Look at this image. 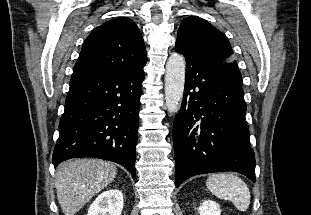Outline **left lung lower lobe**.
Instances as JSON below:
<instances>
[{
    "mask_svg": "<svg viewBox=\"0 0 311 215\" xmlns=\"http://www.w3.org/2000/svg\"><path fill=\"white\" fill-rule=\"evenodd\" d=\"M183 102L173 124L176 187L191 176L235 171L255 182L241 85L187 53Z\"/></svg>",
    "mask_w": 311,
    "mask_h": 215,
    "instance_id": "obj_1",
    "label": "left lung lower lobe"
}]
</instances>
